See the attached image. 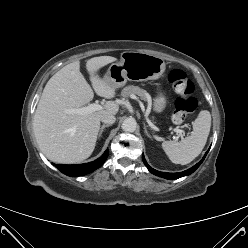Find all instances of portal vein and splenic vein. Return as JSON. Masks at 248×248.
Returning <instances> with one entry per match:
<instances>
[{"mask_svg": "<svg viewBox=\"0 0 248 248\" xmlns=\"http://www.w3.org/2000/svg\"><path fill=\"white\" fill-rule=\"evenodd\" d=\"M130 98L138 101L141 105V108L143 109V105L141 104V101L140 99L135 96V95H130ZM103 107L97 103H93V104H90L86 107H82V108H78V109H68L67 112L70 113V114H80V115H86V114H89V113H92V112H95V111H100L102 110ZM145 116V119H146V122L148 123V125L155 131H160V129L158 127H156L149 119H148V115L147 113L144 114ZM174 131L178 134V136H182V130L178 129V128H175ZM175 140H177V137L175 138Z\"/></svg>", "mask_w": 248, "mask_h": 248, "instance_id": "18ae733b", "label": "portal vein and splenic vein"}]
</instances>
